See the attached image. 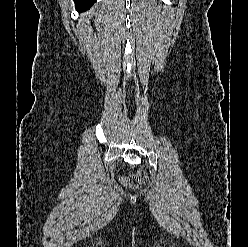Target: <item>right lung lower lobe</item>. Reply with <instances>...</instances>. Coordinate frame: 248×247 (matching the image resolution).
Here are the masks:
<instances>
[{
    "mask_svg": "<svg viewBox=\"0 0 248 247\" xmlns=\"http://www.w3.org/2000/svg\"><path fill=\"white\" fill-rule=\"evenodd\" d=\"M74 1L76 3V10L78 12L88 10L95 2V0H74Z\"/></svg>",
    "mask_w": 248,
    "mask_h": 247,
    "instance_id": "1",
    "label": "right lung lower lobe"
}]
</instances>
